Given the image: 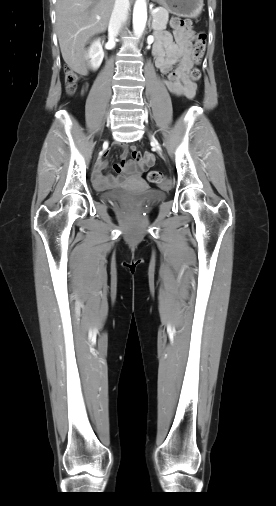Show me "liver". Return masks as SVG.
Segmentation results:
<instances>
[{
  "instance_id": "1",
  "label": "liver",
  "mask_w": 276,
  "mask_h": 506,
  "mask_svg": "<svg viewBox=\"0 0 276 506\" xmlns=\"http://www.w3.org/2000/svg\"><path fill=\"white\" fill-rule=\"evenodd\" d=\"M114 3L115 0L57 1V36L62 57L71 70L87 74L85 45L93 35L107 29Z\"/></svg>"
}]
</instances>
